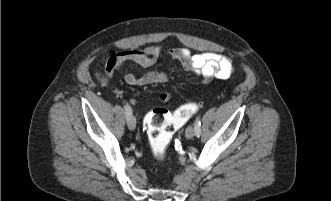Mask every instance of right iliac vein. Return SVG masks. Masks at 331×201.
<instances>
[{
	"instance_id": "1",
	"label": "right iliac vein",
	"mask_w": 331,
	"mask_h": 201,
	"mask_svg": "<svg viewBox=\"0 0 331 201\" xmlns=\"http://www.w3.org/2000/svg\"><path fill=\"white\" fill-rule=\"evenodd\" d=\"M127 125H128L130 130H135V128H136V119H135V117L131 116L127 120Z\"/></svg>"
}]
</instances>
